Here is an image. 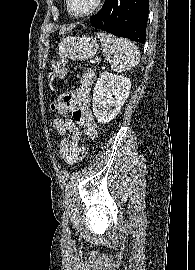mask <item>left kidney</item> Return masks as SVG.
<instances>
[{
  "instance_id": "left-kidney-1",
  "label": "left kidney",
  "mask_w": 195,
  "mask_h": 270,
  "mask_svg": "<svg viewBox=\"0 0 195 270\" xmlns=\"http://www.w3.org/2000/svg\"><path fill=\"white\" fill-rule=\"evenodd\" d=\"M130 79L104 71L93 90V112L98 123L106 124L114 119L129 96Z\"/></svg>"
}]
</instances>
